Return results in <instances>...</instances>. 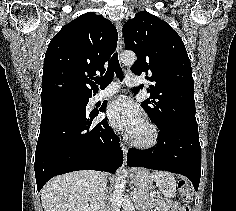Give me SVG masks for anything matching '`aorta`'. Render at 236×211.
<instances>
[{
  "label": "aorta",
  "instance_id": "obj_1",
  "mask_svg": "<svg viewBox=\"0 0 236 211\" xmlns=\"http://www.w3.org/2000/svg\"><path fill=\"white\" fill-rule=\"evenodd\" d=\"M120 59L124 65H132L136 61V55L132 51H126L121 54ZM126 174L127 171L124 168L119 169L116 185L114 188L113 195L111 197L112 211H120V207L123 204Z\"/></svg>",
  "mask_w": 236,
  "mask_h": 211
}]
</instances>
